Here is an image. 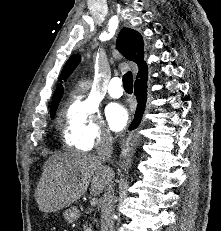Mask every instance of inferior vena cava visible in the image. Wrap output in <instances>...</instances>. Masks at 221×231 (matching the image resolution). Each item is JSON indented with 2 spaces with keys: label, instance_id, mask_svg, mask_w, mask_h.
<instances>
[{
  "label": "inferior vena cava",
  "instance_id": "1",
  "mask_svg": "<svg viewBox=\"0 0 221 231\" xmlns=\"http://www.w3.org/2000/svg\"><path fill=\"white\" fill-rule=\"evenodd\" d=\"M113 138L108 131L100 133L96 145L98 158L102 163L110 162L113 152ZM107 172V188L104 191L103 200L101 203V231H115L114 228V208H115V193H114V171L108 165H104Z\"/></svg>",
  "mask_w": 221,
  "mask_h": 231
}]
</instances>
